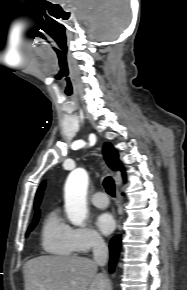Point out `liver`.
I'll return each instance as SVG.
<instances>
[{
  "mask_svg": "<svg viewBox=\"0 0 187 290\" xmlns=\"http://www.w3.org/2000/svg\"><path fill=\"white\" fill-rule=\"evenodd\" d=\"M97 264L78 256H39L23 266L25 290H111Z\"/></svg>",
  "mask_w": 187,
  "mask_h": 290,
  "instance_id": "obj_1",
  "label": "liver"
}]
</instances>
